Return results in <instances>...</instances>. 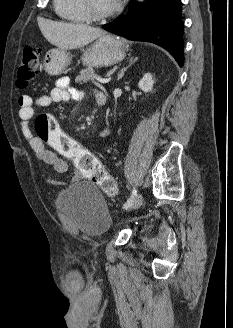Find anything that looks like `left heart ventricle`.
<instances>
[{
	"label": "left heart ventricle",
	"mask_w": 233,
	"mask_h": 328,
	"mask_svg": "<svg viewBox=\"0 0 233 328\" xmlns=\"http://www.w3.org/2000/svg\"><path fill=\"white\" fill-rule=\"evenodd\" d=\"M91 8L97 13L111 10L117 3L116 0H89Z\"/></svg>",
	"instance_id": "1"
}]
</instances>
